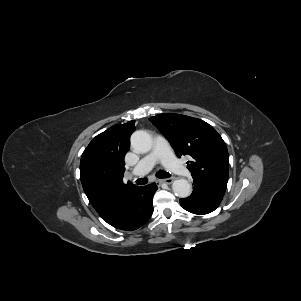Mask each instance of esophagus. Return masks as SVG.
<instances>
[{
  "instance_id": "esophagus-1",
  "label": "esophagus",
  "mask_w": 301,
  "mask_h": 301,
  "mask_svg": "<svg viewBox=\"0 0 301 301\" xmlns=\"http://www.w3.org/2000/svg\"><path fill=\"white\" fill-rule=\"evenodd\" d=\"M158 182L170 185L173 182V179L172 178H166V179L158 180Z\"/></svg>"
}]
</instances>
